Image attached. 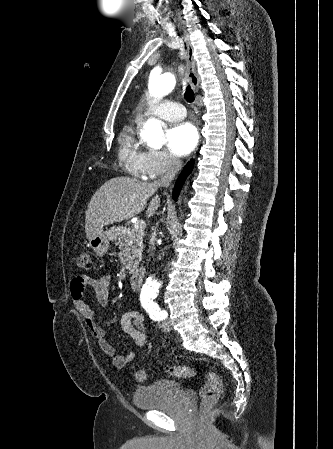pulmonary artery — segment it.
Instances as JSON below:
<instances>
[{
  "label": "pulmonary artery",
  "instance_id": "1",
  "mask_svg": "<svg viewBox=\"0 0 333 449\" xmlns=\"http://www.w3.org/2000/svg\"><path fill=\"white\" fill-rule=\"evenodd\" d=\"M150 115H155L167 121H175L185 117V108L176 102L169 100L153 104L141 115V118H146Z\"/></svg>",
  "mask_w": 333,
  "mask_h": 449
}]
</instances>
